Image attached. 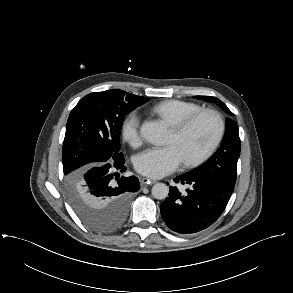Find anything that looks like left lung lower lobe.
Returning <instances> with one entry per match:
<instances>
[{
  "label": "left lung lower lobe",
  "instance_id": "0a47b994",
  "mask_svg": "<svg viewBox=\"0 0 293 293\" xmlns=\"http://www.w3.org/2000/svg\"><path fill=\"white\" fill-rule=\"evenodd\" d=\"M176 183L191 185L186 194L170 186L169 197L160 210L166 225L180 234H191L213 224L225 209L234 186L218 178L187 173L178 176Z\"/></svg>",
  "mask_w": 293,
  "mask_h": 293
}]
</instances>
